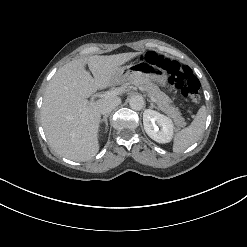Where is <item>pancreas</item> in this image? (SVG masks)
<instances>
[{
	"label": "pancreas",
	"instance_id": "cf45deb5",
	"mask_svg": "<svg viewBox=\"0 0 247 247\" xmlns=\"http://www.w3.org/2000/svg\"><path fill=\"white\" fill-rule=\"evenodd\" d=\"M128 81L139 85L143 90H145L148 95L154 97L157 101L158 108L165 114L170 116L178 127L185 126L184 118L177 107L172 105L171 99L162 92L158 86L152 83L148 78L143 76H133L127 78Z\"/></svg>",
	"mask_w": 247,
	"mask_h": 247
}]
</instances>
